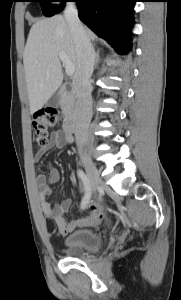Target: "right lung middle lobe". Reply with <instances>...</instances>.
<instances>
[{"label": "right lung middle lobe", "instance_id": "dd1d6c3e", "mask_svg": "<svg viewBox=\"0 0 181 300\" xmlns=\"http://www.w3.org/2000/svg\"><path fill=\"white\" fill-rule=\"evenodd\" d=\"M33 2H39L42 8V12L45 16L50 17L58 13L61 8L65 7V0H61L60 5H53V0H31Z\"/></svg>", "mask_w": 181, "mask_h": 300}]
</instances>
